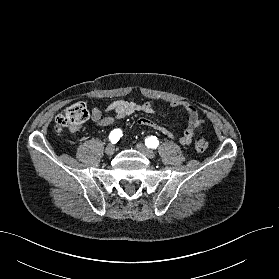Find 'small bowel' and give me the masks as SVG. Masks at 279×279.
Listing matches in <instances>:
<instances>
[{"instance_id":"small-bowel-1","label":"small bowel","mask_w":279,"mask_h":279,"mask_svg":"<svg viewBox=\"0 0 279 279\" xmlns=\"http://www.w3.org/2000/svg\"><path fill=\"white\" fill-rule=\"evenodd\" d=\"M170 106L182 109L188 117L187 128L181 136H175L165 126L147 118H140L138 120V124L141 126L150 127L171 139L177 140L182 145H188L192 142L204 120L199 116L196 107L186 101H172ZM135 112L154 114L156 112L155 103L153 101L138 103L134 101L115 100L107 106L105 111L94 107L91 110V119L98 126H109L115 123L117 120L128 117Z\"/></svg>"}]
</instances>
